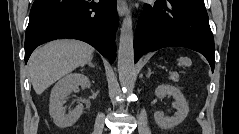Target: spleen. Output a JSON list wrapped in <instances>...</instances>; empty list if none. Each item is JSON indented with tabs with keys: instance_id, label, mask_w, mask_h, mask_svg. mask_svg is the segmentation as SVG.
I'll return each mask as SVG.
<instances>
[{
	"instance_id": "obj_1",
	"label": "spleen",
	"mask_w": 239,
	"mask_h": 134,
	"mask_svg": "<svg viewBox=\"0 0 239 134\" xmlns=\"http://www.w3.org/2000/svg\"><path fill=\"white\" fill-rule=\"evenodd\" d=\"M177 61H178L179 66H188L189 67L192 65V61L188 57L179 58Z\"/></svg>"
}]
</instances>
